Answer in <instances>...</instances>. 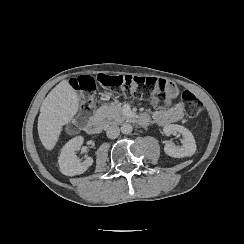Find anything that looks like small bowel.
I'll return each mask as SVG.
<instances>
[{"mask_svg": "<svg viewBox=\"0 0 244 244\" xmlns=\"http://www.w3.org/2000/svg\"><path fill=\"white\" fill-rule=\"evenodd\" d=\"M167 91L171 99L177 97L179 91L176 85L169 83L167 85ZM184 117L183 103L178 102L168 108H162L154 111L153 118L155 122L160 126H166L180 121Z\"/></svg>", "mask_w": 244, "mask_h": 244, "instance_id": "1", "label": "small bowel"}]
</instances>
